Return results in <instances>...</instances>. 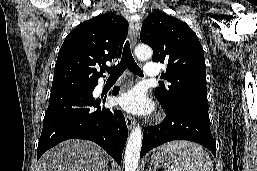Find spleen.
I'll list each match as a JSON object with an SVG mask.
<instances>
[{"label":"spleen","mask_w":257,"mask_h":171,"mask_svg":"<svg viewBox=\"0 0 257 171\" xmlns=\"http://www.w3.org/2000/svg\"><path fill=\"white\" fill-rule=\"evenodd\" d=\"M162 148L169 152L172 160L167 171H214L208 153L194 142L177 140Z\"/></svg>","instance_id":"3e777b00"}]
</instances>
